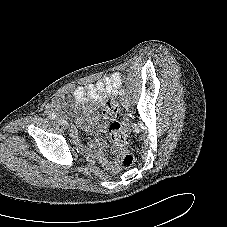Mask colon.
Wrapping results in <instances>:
<instances>
[{"label": "colon", "mask_w": 227, "mask_h": 227, "mask_svg": "<svg viewBox=\"0 0 227 227\" xmlns=\"http://www.w3.org/2000/svg\"><path fill=\"white\" fill-rule=\"evenodd\" d=\"M104 114L111 120L109 132L114 146L123 148L130 142L129 127L126 123L119 121L121 109L115 98H110L104 105ZM135 163V156L130 150H124L120 158V164L124 169L131 168Z\"/></svg>", "instance_id": "1"}]
</instances>
